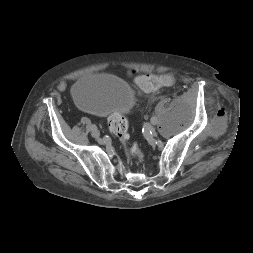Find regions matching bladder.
<instances>
[{"label": "bladder", "mask_w": 253, "mask_h": 253, "mask_svg": "<svg viewBox=\"0 0 253 253\" xmlns=\"http://www.w3.org/2000/svg\"><path fill=\"white\" fill-rule=\"evenodd\" d=\"M71 92L80 107L102 116L126 114L135 104L130 85L108 74L85 75L76 81Z\"/></svg>", "instance_id": "31cf9c89"}]
</instances>
